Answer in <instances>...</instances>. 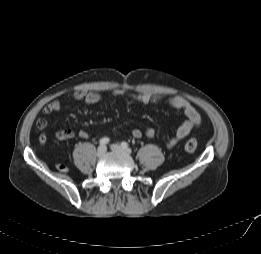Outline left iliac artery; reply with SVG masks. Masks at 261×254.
I'll use <instances>...</instances> for the list:
<instances>
[{
    "label": "left iliac artery",
    "mask_w": 261,
    "mask_h": 254,
    "mask_svg": "<svg viewBox=\"0 0 261 254\" xmlns=\"http://www.w3.org/2000/svg\"><path fill=\"white\" fill-rule=\"evenodd\" d=\"M121 146H122L123 148H128V143L122 142V143H121Z\"/></svg>",
    "instance_id": "left-iliac-artery-1"
}]
</instances>
